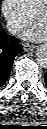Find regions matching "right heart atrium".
<instances>
[{
    "label": "right heart atrium",
    "instance_id": "obj_1",
    "mask_svg": "<svg viewBox=\"0 0 47 129\" xmlns=\"http://www.w3.org/2000/svg\"><path fill=\"white\" fill-rule=\"evenodd\" d=\"M1 10L12 33L20 32L33 19V14L27 10L21 0H3Z\"/></svg>",
    "mask_w": 47,
    "mask_h": 129
}]
</instances>
